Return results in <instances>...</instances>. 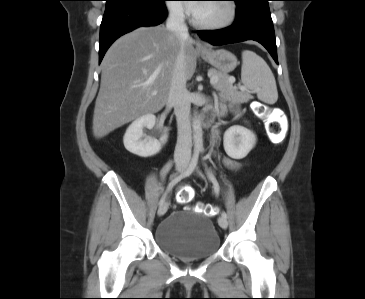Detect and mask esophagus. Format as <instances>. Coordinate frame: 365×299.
<instances>
[{"label": "esophagus", "instance_id": "34e87169", "mask_svg": "<svg viewBox=\"0 0 365 299\" xmlns=\"http://www.w3.org/2000/svg\"><path fill=\"white\" fill-rule=\"evenodd\" d=\"M198 47H199V49H203L204 48V46L202 44H200V43H198Z\"/></svg>", "mask_w": 365, "mask_h": 299}]
</instances>
